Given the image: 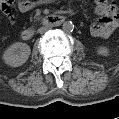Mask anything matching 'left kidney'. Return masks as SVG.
Wrapping results in <instances>:
<instances>
[{
  "label": "left kidney",
  "instance_id": "1",
  "mask_svg": "<svg viewBox=\"0 0 119 119\" xmlns=\"http://www.w3.org/2000/svg\"><path fill=\"white\" fill-rule=\"evenodd\" d=\"M97 53H98L99 55H102V56H108L109 51H108V49H107L106 47H99V48L97 49Z\"/></svg>",
  "mask_w": 119,
  "mask_h": 119
}]
</instances>
